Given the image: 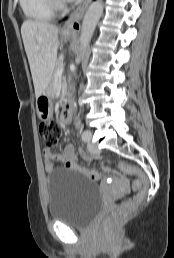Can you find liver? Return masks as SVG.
<instances>
[{
	"label": "liver",
	"mask_w": 174,
	"mask_h": 258,
	"mask_svg": "<svg viewBox=\"0 0 174 258\" xmlns=\"http://www.w3.org/2000/svg\"><path fill=\"white\" fill-rule=\"evenodd\" d=\"M21 34L28 57L35 96L38 98L48 87L57 61L58 28L55 25L26 20Z\"/></svg>",
	"instance_id": "liver-1"
}]
</instances>
